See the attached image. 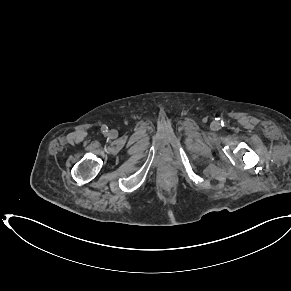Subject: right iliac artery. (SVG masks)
<instances>
[{
  "mask_svg": "<svg viewBox=\"0 0 291 291\" xmlns=\"http://www.w3.org/2000/svg\"><path fill=\"white\" fill-rule=\"evenodd\" d=\"M101 130H102V132L104 133V132L107 131V127H106V126H102Z\"/></svg>",
  "mask_w": 291,
  "mask_h": 291,
  "instance_id": "82829eb1",
  "label": "right iliac artery"
}]
</instances>
